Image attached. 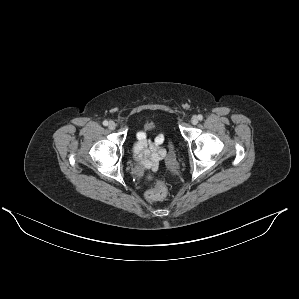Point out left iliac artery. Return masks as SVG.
<instances>
[{
	"mask_svg": "<svg viewBox=\"0 0 299 299\" xmlns=\"http://www.w3.org/2000/svg\"><path fill=\"white\" fill-rule=\"evenodd\" d=\"M198 119L199 120H202L203 119V116L200 114V115H198Z\"/></svg>",
	"mask_w": 299,
	"mask_h": 299,
	"instance_id": "44dca946",
	"label": "left iliac artery"
}]
</instances>
